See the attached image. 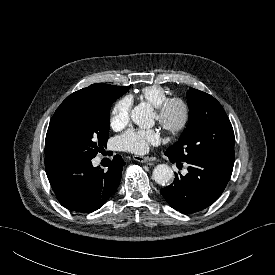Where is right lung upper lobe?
<instances>
[{"instance_id": "1", "label": "right lung upper lobe", "mask_w": 275, "mask_h": 275, "mask_svg": "<svg viewBox=\"0 0 275 275\" xmlns=\"http://www.w3.org/2000/svg\"><path fill=\"white\" fill-rule=\"evenodd\" d=\"M124 87L109 84H92L69 95L61 105L72 104L86 98H101L114 93Z\"/></svg>"}]
</instances>
